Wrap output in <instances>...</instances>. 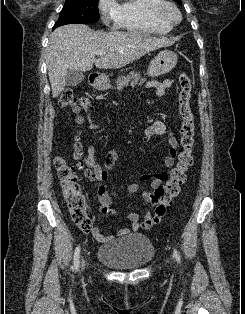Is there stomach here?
Wrapping results in <instances>:
<instances>
[{"mask_svg": "<svg viewBox=\"0 0 245 314\" xmlns=\"http://www.w3.org/2000/svg\"><path fill=\"white\" fill-rule=\"evenodd\" d=\"M177 64V54L170 50L161 51L150 63L147 74L151 77H158L169 73ZM95 88L106 90L110 87L105 76L99 77L94 83Z\"/></svg>", "mask_w": 245, "mask_h": 314, "instance_id": "stomach-1", "label": "stomach"}]
</instances>
